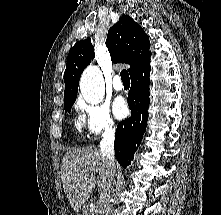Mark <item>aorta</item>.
<instances>
[{
  "label": "aorta",
  "mask_w": 221,
  "mask_h": 215,
  "mask_svg": "<svg viewBox=\"0 0 221 215\" xmlns=\"http://www.w3.org/2000/svg\"><path fill=\"white\" fill-rule=\"evenodd\" d=\"M80 90L84 99L92 104L100 103L105 95L104 79L97 66L87 67L80 79Z\"/></svg>",
  "instance_id": "762f6f07"
}]
</instances>
